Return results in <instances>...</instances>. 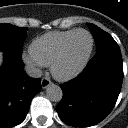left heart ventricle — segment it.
<instances>
[{
  "label": "left heart ventricle",
  "instance_id": "1",
  "mask_svg": "<svg viewBox=\"0 0 128 128\" xmlns=\"http://www.w3.org/2000/svg\"><path fill=\"white\" fill-rule=\"evenodd\" d=\"M90 46V38L86 33L76 34L70 41L65 57L60 63V73H68L74 70L86 56Z\"/></svg>",
  "mask_w": 128,
  "mask_h": 128
}]
</instances>
